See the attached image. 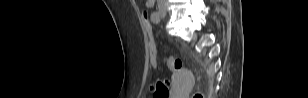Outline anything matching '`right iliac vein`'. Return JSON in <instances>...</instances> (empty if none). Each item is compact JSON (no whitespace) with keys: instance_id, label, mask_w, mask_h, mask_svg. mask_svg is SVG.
<instances>
[{"instance_id":"right-iliac-vein-1","label":"right iliac vein","mask_w":308,"mask_h":98,"mask_svg":"<svg viewBox=\"0 0 308 98\" xmlns=\"http://www.w3.org/2000/svg\"><path fill=\"white\" fill-rule=\"evenodd\" d=\"M159 12L162 16H165L168 12L167 7L165 5L159 6Z\"/></svg>"}]
</instances>
